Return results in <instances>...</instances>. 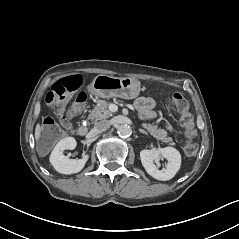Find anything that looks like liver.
Here are the masks:
<instances>
[{
  "label": "liver",
  "instance_id": "liver-1",
  "mask_svg": "<svg viewBox=\"0 0 239 239\" xmlns=\"http://www.w3.org/2000/svg\"><path fill=\"white\" fill-rule=\"evenodd\" d=\"M41 126L40 124H37L36 125V128H35V140L38 141L40 136H41Z\"/></svg>",
  "mask_w": 239,
  "mask_h": 239
}]
</instances>
